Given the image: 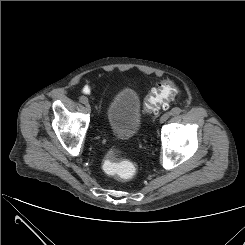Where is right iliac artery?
Returning a JSON list of instances; mask_svg holds the SVG:
<instances>
[{
	"label": "right iliac artery",
	"mask_w": 245,
	"mask_h": 245,
	"mask_svg": "<svg viewBox=\"0 0 245 245\" xmlns=\"http://www.w3.org/2000/svg\"><path fill=\"white\" fill-rule=\"evenodd\" d=\"M84 101L83 96L80 97V102L82 103Z\"/></svg>",
	"instance_id": "1"
}]
</instances>
